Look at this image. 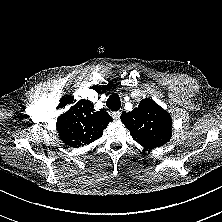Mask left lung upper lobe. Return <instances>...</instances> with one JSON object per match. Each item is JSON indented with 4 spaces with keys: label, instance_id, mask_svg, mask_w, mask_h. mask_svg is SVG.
<instances>
[{
    "label": "left lung upper lobe",
    "instance_id": "5c2ea615",
    "mask_svg": "<svg viewBox=\"0 0 222 222\" xmlns=\"http://www.w3.org/2000/svg\"><path fill=\"white\" fill-rule=\"evenodd\" d=\"M121 121L133 139L145 149L162 146L172 135L170 114L149 98L142 99L131 112H124Z\"/></svg>",
    "mask_w": 222,
    "mask_h": 222
}]
</instances>
